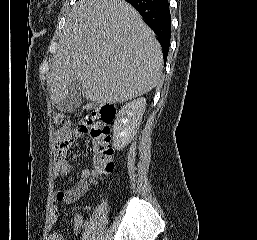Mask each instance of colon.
I'll return each mask as SVG.
<instances>
[{
	"label": "colon",
	"instance_id": "colon-1",
	"mask_svg": "<svg viewBox=\"0 0 257 240\" xmlns=\"http://www.w3.org/2000/svg\"><path fill=\"white\" fill-rule=\"evenodd\" d=\"M115 115V108L109 104L90 106L82 124L93 142L92 176L97 180L114 170L113 150L110 146L109 124Z\"/></svg>",
	"mask_w": 257,
	"mask_h": 240
}]
</instances>
